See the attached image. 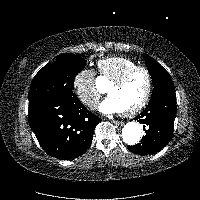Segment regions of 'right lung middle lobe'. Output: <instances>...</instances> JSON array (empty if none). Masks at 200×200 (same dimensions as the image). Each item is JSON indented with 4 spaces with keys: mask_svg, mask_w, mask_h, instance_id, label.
<instances>
[{
    "mask_svg": "<svg viewBox=\"0 0 200 200\" xmlns=\"http://www.w3.org/2000/svg\"><path fill=\"white\" fill-rule=\"evenodd\" d=\"M85 65V60L78 55H58L54 64H46L35 75L30 87L29 102L40 99H75L76 95L72 91L74 78Z\"/></svg>",
    "mask_w": 200,
    "mask_h": 200,
    "instance_id": "dd1d6c3e",
    "label": "right lung middle lobe"
}]
</instances>
